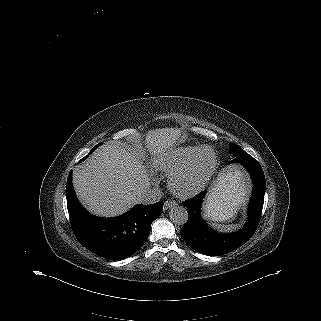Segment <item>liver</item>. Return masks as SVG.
Instances as JSON below:
<instances>
[{"label": "liver", "instance_id": "obj_1", "mask_svg": "<svg viewBox=\"0 0 321 321\" xmlns=\"http://www.w3.org/2000/svg\"><path fill=\"white\" fill-rule=\"evenodd\" d=\"M181 129L162 128L146 134V147L162 150L179 138ZM73 185L80 202L93 214L114 217L140 203L150 188V178L139 159L119 143L96 150L73 173ZM225 194L210 201L219 203Z\"/></svg>", "mask_w": 321, "mask_h": 321}]
</instances>
